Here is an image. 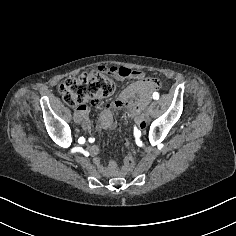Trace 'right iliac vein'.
Listing matches in <instances>:
<instances>
[{
    "instance_id": "obj_1",
    "label": "right iliac vein",
    "mask_w": 236,
    "mask_h": 236,
    "mask_svg": "<svg viewBox=\"0 0 236 236\" xmlns=\"http://www.w3.org/2000/svg\"><path fill=\"white\" fill-rule=\"evenodd\" d=\"M82 128H87V123L85 121L82 123Z\"/></svg>"
}]
</instances>
